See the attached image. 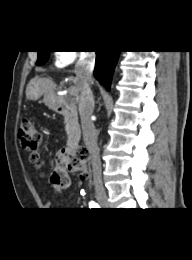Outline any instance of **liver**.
Returning a JSON list of instances; mask_svg holds the SVG:
<instances>
[{
	"label": "liver",
	"instance_id": "1",
	"mask_svg": "<svg viewBox=\"0 0 192 260\" xmlns=\"http://www.w3.org/2000/svg\"><path fill=\"white\" fill-rule=\"evenodd\" d=\"M71 80L75 84L73 88L77 90V93L80 92L78 78L75 77L72 78ZM32 86H36L40 88L41 95L45 94L44 99L46 101L50 100L52 97H55V85L51 79L39 78V77H35L34 79H32L26 89V97L28 99H31L29 97V89H31ZM31 100H37V99H31Z\"/></svg>",
	"mask_w": 192,
	"mask_h": 260
}]
</instances>
